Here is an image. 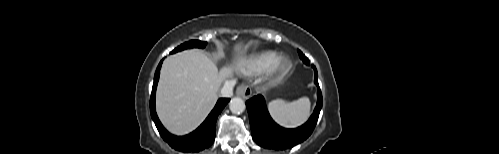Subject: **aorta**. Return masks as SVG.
Here are the masks:
<instances>
[{
  "instance_id": "762f6f07",
  "label": "aorta",
  "mask_w": 499,
  "mask_h": 154,
  "mask_svg": "<svg viewBox=\"0 0 499 154\" xmlns=\"http://www.w3.org/2000/svg\"><path fill=\"white\" fill-rule=\"evenodd\" d=\"M245 108V102L239 97L232 98L229 103V109L234 114L242 113Z\"/></svg>"
}]
</instances>
